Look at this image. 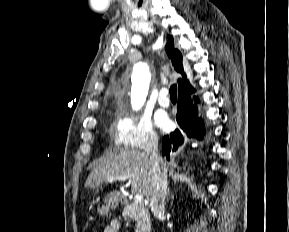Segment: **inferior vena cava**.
Here are the masks:
<instances>
[{
	"label": "inferior vena cava",
	"instance_id": "602c4592",
	"mask_svg": "<svg viewBox=\"0 0 289 232\" xmlns=\"http://www.w3.org/2000/svg\"><path fill=\"white\" fill-rule=\"evenodd\" d=\"M146 153L153 167V191L150 196V208L152 213L157 216L164 211L167 196V171L158 152L157 138L149 143Z\"/></svg>",
	"mask_w": 289,
	"mask_h": 232
}]
</instances>
